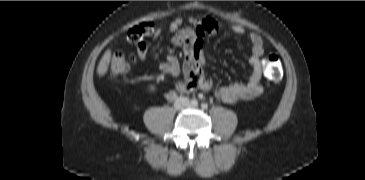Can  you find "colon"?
<instances>
[{"label":"colon","mask_w":365,"mask_h":180,"mask_svg":"<svg viewBox=\"0 0 365 180\" xmlns=\"http://www.w3.org/2000/svg\"><path fill=\"white\" fill-rule=\"evenodd\" d=\"M155 28L151 23H143L131 28L127 33V41L130 44H140L146 37L152 35ZM135 64V57L124 52H116L110 59V74L113 79H119L132 71ZM264 71L271 81H278L281 78V61L274 54H268L264 58Z\"/></svg>","instance_id":"obj_1"}]
</instances>
